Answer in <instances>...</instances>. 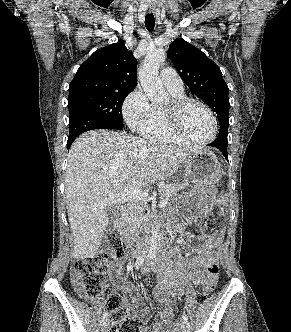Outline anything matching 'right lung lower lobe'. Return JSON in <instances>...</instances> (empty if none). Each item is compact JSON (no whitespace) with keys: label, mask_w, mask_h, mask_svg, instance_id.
I'll list each match as a JSON object with an SVG mask.
<instances>
[{"label":"right lung lower lobe","mask_w":291,"mask_h":332,"mask_svg":"<svg viewBox=\"0 0 291 332\" xmlns=\"http://www.w3.org/2000/svg\"><path fill=\"white\" fill-rule=\"evenodd\" d=\"M94 129H110L102 117L90 113L88 110L80 108L69 116V137L67 148L69 150L74 139L83 132Z\"/></svg>","instance_id":"1"}]
</instances>
